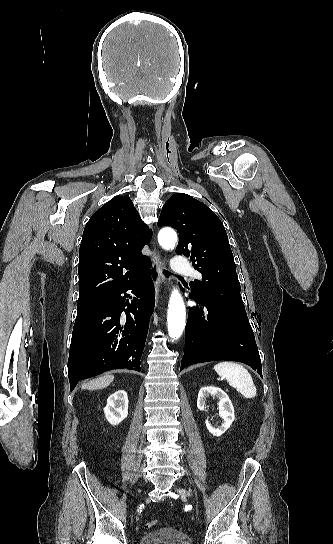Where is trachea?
<instances>
[{"label":"trachea","mask_w":333,"mask_h":544,"mask_svg":"<svg viewBox=\"0 0 333 544\" xmlns=\"http://www.w3.org/2000/svg\"><path fill=\"white\" fill-rule=\"evenodd\" d=\"M164 274H165L166 276H168V275H169V272L166 271V272H164Z\"/></svg>","instance_id":"3493384b"}]
</instances>
